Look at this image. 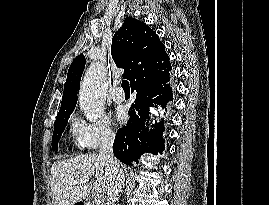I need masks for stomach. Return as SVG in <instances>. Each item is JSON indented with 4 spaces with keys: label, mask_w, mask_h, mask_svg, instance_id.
Here are the masks:
<instances>
[{
    "label": "stomach",
    "mask_w": 269,
    "mask_h": 205,
    "mask_svg": "<svg viewBox=\"0 0 269 205\" xmlns=\"http://www.w3.org/2000/svg\"><path fill=\"white\" fill-rule=\"evenodd\" d=\"M74 205H86V203L83 202V201H78V202H76Z\"/></svg>",
    "instance_id": "1"
}]
</instances>
